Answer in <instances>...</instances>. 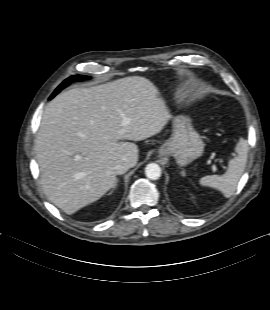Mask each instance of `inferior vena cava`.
I'll return each mask as SVG.
<instances>
[{"mask_svg": "<svg viewBox=\"0 0 270 310\" xmlns=\"http://www.w3.org/2000/svg\"><path fill=\"white\" fill-rule=\"evenodd\" d=\"M130 168V163L126 159L119 160L114 166V172L117 175L124 174Z\"/></svg>", "mask_w": 270, "mask_h": 310, "instance_id": "602c4592", "label": "inferior vena cava"}]
</instances>
